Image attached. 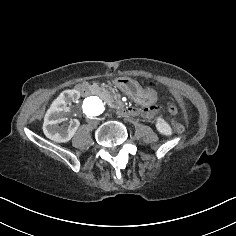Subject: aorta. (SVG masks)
Instances as JSON below:
<instances>
[{
	"label": "aorta",
	"mask_w": 236,
	"mask_h": 236,
	"mask_svg": "<svg viewBox=\"0 0 236 236\" xmlns=\"http://www.w3.org/2000/svg\"><path fill=\"white\" fill-rule=\"evenodd\" d=\"M105 111L104 102L97 96H90L84 99L82 113L86 118H96Z\"/></svg>",
	"instance_id": "aorta-1"
}]
</instances>
